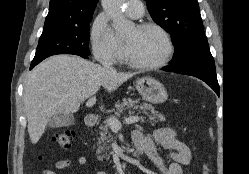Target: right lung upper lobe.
Segmentation results:
<instances>
[{
  "label": "right lung upper lobe",
  "instance_id": "right-lung-upper-lobe-1",
  "mask_svg": "<svg viewBox=\"0 0 249 174\" xmlns=\"http://www.w3.org/2000/svg\"><path fill=\"white\" fill-rule=\"evenodd\" d=\"M98 0H50L43 30L77 25L92 19Z\"/></svg>",
  "mask_w": 249,
  "mask_h": 174
}]
</instances>
